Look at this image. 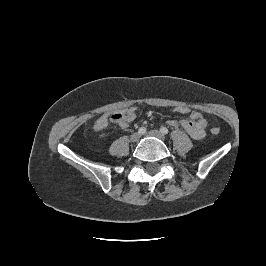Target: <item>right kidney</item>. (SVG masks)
<instances>
[{
  "mask_svg": "<svg viewBox=\"0 0 266 266\" xmlns=\"http://www.w3.org/2000/svg\"><path fill=\"white\" fill-rule=\"evenodd\" d=\"M104 136H105V134H101V135H100V137H104Z\"/></svg>",
  "mask_w": 266,
  "mask_h": 266,
  "instance_id": "right-kidney-1",
  "label": "right kidney"
}]
</instances>
